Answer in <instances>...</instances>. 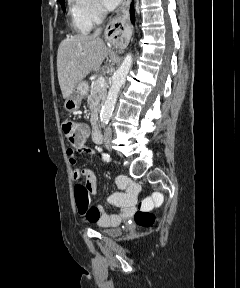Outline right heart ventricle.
Segmentation results:
<instances>
[{"mask_svg":"<svg viewBox=\"0 0 240 288\" xmlns=\"http://www.w3.org/2000/svg\"><path fill=\"white\" fill-rule=\"evenodd\" d=\"M70 14L72 17V24L75 29L80 32H86L90 29V26L86 24L79 16L76 4H73L70 8Z\"/></svg>","mask_w":240,"mask_h":288,"instance_id":"right-heart-ventricle-1","label":"right heart ventricle"}]
</instances>
